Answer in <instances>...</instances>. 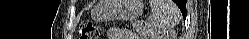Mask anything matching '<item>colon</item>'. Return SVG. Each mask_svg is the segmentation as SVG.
<instances>
[{"instance_id":"colon-1","label":"colon","mask_w":249,"mask_h":39,"mask_svg":"<svg viewBox=\"0 0 249 39\" xmlns=\"http://www.w3.org/2000/svg\"><path fill=\"white\" fill-rule=\"evenodd\" d=\"M80 39H98L101 36V29L94 23H81L79 25Z\"/></svg>"}]
</instances>
